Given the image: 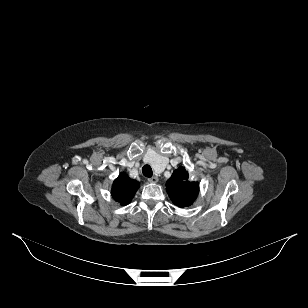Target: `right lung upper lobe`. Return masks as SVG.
Masks as SVG:
<instances>
[{"label": "right lung upper lobe", "mask_w": 308, "mask_h": 308, "mask_svg": "<svg viewBox=\"0 0 308 308\" xmlns=\"http://www.w3.org/2000/svg\"><path fill=\"white\" fill-rule=\"evenodd\" d=\"M138 188L139 183L137 181L122 173L113 183L112 196L117 202L126 205L132 200Z\"/></svg>", "instance_id": "cb5924a9"}]
</instances>
